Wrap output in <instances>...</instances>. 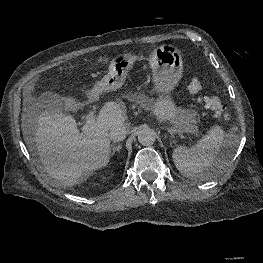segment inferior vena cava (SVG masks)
Here are the masks:
<instances>
[{"label":"inferior vena cava","instance_id":"inferior-vena-cava-1","mask_svg":"<svg viewBox=\"0 0 263 263\" xmlns=\"http://www.w3.org/2000/svg\"><path fill=\"white\" fill-rule=\"evenodd\" d=\"M109 138L113 142H119L126 138V129L124 126H114L109 131Z\"/></svg>","mask_w":263,"mask_h":263}]
</instances>
